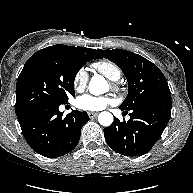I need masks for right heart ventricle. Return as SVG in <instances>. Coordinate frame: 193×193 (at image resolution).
Instances as JSON below:
<instances>
[{
	"label": "right heart ventricle",
	"instance_id": "1",
	"mask_svg": "<svg viewBox=\"0 0 193 193\" xmlns=\"http://www.w3.org/2000/svg\"><path fill=\"white\" fill-rule=\"evenodd\" d=\"M92 67L112 81L119 80L122 74L120 67L109 60L95 62L93 63Z\"/></svg>",
	"mask_w": 193,
	"mask_h": 193
}]
</instances>
